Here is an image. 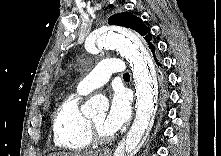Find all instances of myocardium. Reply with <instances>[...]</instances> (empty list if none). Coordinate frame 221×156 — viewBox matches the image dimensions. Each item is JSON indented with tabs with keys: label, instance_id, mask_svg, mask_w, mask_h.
Returning a JSON list of instances; mask_svg holds the SVG:
<instances>
[{
	"label": "myocardium",
	"instance_id": "f54148a6",
	"mask_svg": "<svg viewBox=\"0 0 221 156\" xmlns=\"http://www.w3.org/2000/svg\"><path fill=\"white\" fill-rule=\"evenodd\" d=\"M88 134L91 142L107 143L112 140L111 134L105 135L101 133V131L91 119H88Z\"/></svg>",
	"mask_w": 221,
	"mask_h": 156
}]
</instances>
